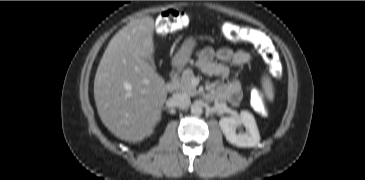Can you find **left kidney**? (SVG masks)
Returning a JSON list of instances; mask_svg holds the SVG:
<instances>
[{"label": "left kidney", "instance_id": "obj_1", "mask_svg": "<svg viewBox=\"0 0 365 180\" xmlns=\"http://www.w3.org/2000/svg\"><path fill=\"white\" fill-rule=\"evenodd\" d=\"M219 125L227 141L238 147H254L260 141L255 119L248 111H242L238 117H223ZM242 126L245 132L240 130Z\"/></svg>", "mask_w": 365, "mask_h": 180}]
</instances>
